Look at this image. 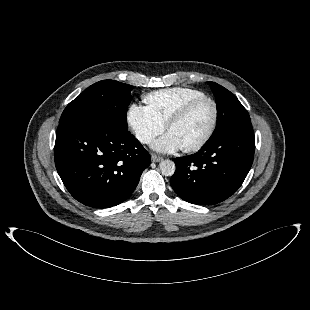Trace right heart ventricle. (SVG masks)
<instances>
[{"mask_svg":"<svg viewBox=\"0 0 310 310\" xmlns=\"http://www.w3.org/2000/svg\"><path fill=\"white\" fill-rule=\"evenodd\" d=\"M205 96L199 90L174 87L157 90L144 96V102L150 113L162 124L168 120L188 101Z\"/></svg>","mask_w":310,"mask_h":310,"instance_id":"e07e8e85","label":"right heart ventricle"}]
</instances>
